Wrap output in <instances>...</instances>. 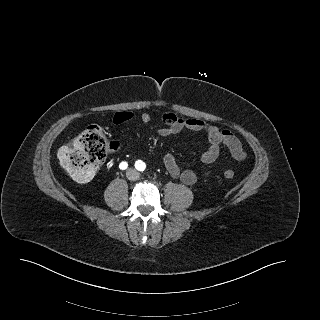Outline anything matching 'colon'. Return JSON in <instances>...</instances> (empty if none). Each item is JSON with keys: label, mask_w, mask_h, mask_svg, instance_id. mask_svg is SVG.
<instances>
[{"label": "colon", "mask_w": 320, "mask_h": 320, "mask_svg": "<svg viewBox=\"0 0 320 320\" xmlns=\"http://www.w3.org/2000/svg\"><path fill=\"white\" fill-rule=\"evenodd\" d=\"M115 147L116 143L107 141L102 128L92 124L69 144L60 148L58 160L75 181L87 182L93 178L98 165L104 161L108 149ZM223 176L233 179L235 173L226 169Z\"/></svg>", "instance_id": "obj_1"}]
</instances>
